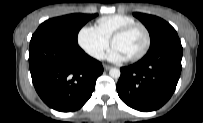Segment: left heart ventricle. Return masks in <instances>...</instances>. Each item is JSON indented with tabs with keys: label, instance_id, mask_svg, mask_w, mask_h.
I'll list each match as a JSON object with an SVG mask.
<instances>
[{
	"label": "left heart ventricle",
	"instance_id": "b2bd125f",
	"mask_svg": "<svg viewBox=\"0 0 203 123\" xmlns=\"http://www.w3.org/2000/svg\"><path fill=\"white\" fill-rule=\"evenodd\" d=\"M145 34L142 29L136 28L128 34L115 40L113 47L118 49L126 58L138 54L145 45Z\"/></svg>",
	"mask_w": 203,
	"mask_h": 123
}]
</instances>
